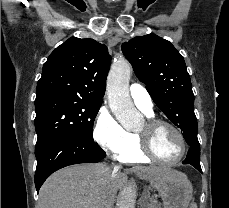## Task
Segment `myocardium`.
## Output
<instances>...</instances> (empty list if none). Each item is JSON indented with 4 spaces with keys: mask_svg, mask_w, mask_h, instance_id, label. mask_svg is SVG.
Wrapping results in <instances>:
<instances>
[{
    "mask_svg": "<svg viewBox=\"0 0 229 208\" xmlns=\"http://www.w3.org/2000/svg\"><path fill=\"white\" fill-rule=\"evenodd\" d=\"M145 125L147 127V131L144 133H138V136L142 140V143H139L138 147L140 148V153H143V158H152L153 160L163 164H175L181 162L188 155L191 149V143L181 128L171 122L155 118L148 119ZM160 127L171 128L172 130L170 131V134L172 135V139H174V143H178V147H185V151L180 157L174 160H160V157H155V152L150 151V139H154V132ZM177 132L179 134H177Z\"/></svg>",
    "mask_w": 229,
    "mask_h": 208,
    "instance_id": "obj_1",
    "label": "myocardium"
}]
</instances>
